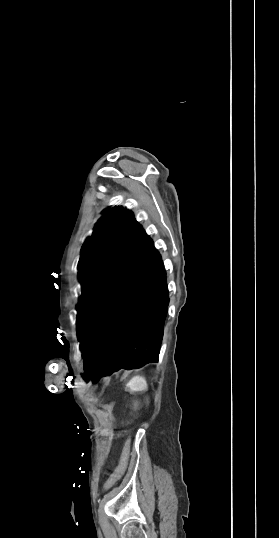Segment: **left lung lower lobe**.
Here are the masks:
<instances>
[{
  "label": "left lung lower lobe",
  "mask_w": 279,
  "mask_h": 538,
  "mask_svg": "<svg viewBox=\"0 0 279 538\" xmlns=\"http://www.w3.org/2000/svg\"><path fill=\"white\" fill-rule=\"evenodd\" d=\"M168 304L162 259L147 236L77 321L89 377L157 362Z\"/></svg>",
  "instance_id": "0a47b994"
}]
</instances>
